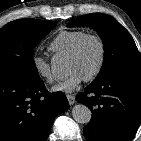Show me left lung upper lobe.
<instances>
[{
    "mask_svg": "<svg viewBox=\"0 0 141 141\" xmlns=\"http://www.w3.org/2000/svg\"><path fill=\"white\" fill-rule=\"evenodd\" d=\"M72 26H90L103 40V65L92 83L122 74H141V55L136 44L129 32L113 17L102 13L87 14L68 24V27Z\"/></svg>",
    "mask_w": 141,
    "mask_h": 141,
    "instance_id": "obj_1",
    "label": "left lung upper lobe"
}]
</instances>
